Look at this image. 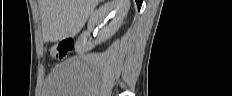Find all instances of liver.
Wrapping results in <instances>:
<instances>
[{
	"label": "liver",
	"instance_id": "1",
	"mask_svg": "<svg viewBox=\"0 0 232 96\" xmlns=\"http://www.w3.org/2000/svg\"><path fill=\"white\" fill-rule=\"evenodd\" d=\"M101 0H38L44 42L74 37Z\"/></svg>",
	"mask_w": 232,
	"mask_h": 96
}]
</instances>
